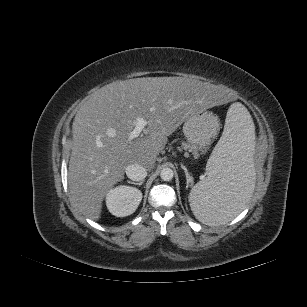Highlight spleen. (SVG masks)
<instances>
[{
    "instance_id": "1",
    "label": "spleen",
    "mask_w": 307,
    "mask_h": 307,
    "mask_svg": "<svg viewBox=\"0 0 307 307\" xmlns=\"http://www.w3.org/2000/svg\"><path fill=\"white\" fill-rule=\"evenodd\" d=\"M254 123L247 109L232 104L223 134L206 165V178L190 191L189 202L203 224L220 226L238 215L254 191Z\"/></svg>"
}]
</instances>
